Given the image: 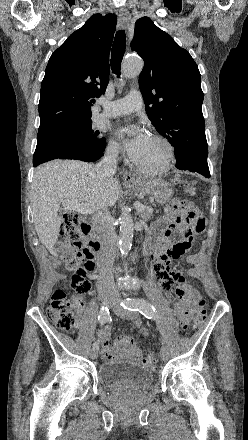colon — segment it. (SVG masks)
<instances>
[{
  "mask_svg": "<svg viewBox=\"0 0 248 440\" xmlns=\"http://www.w3.org/2000/svg\"><path fill=\"white\" fill-rule=\"evenodd\" d=\"M195 187L188 185L186 192L193 196ZM193 206V205H192ZM187 220L190 229L194 233H201L205 229V219L194 206L187 212ZM82 221L78 214L68 212L64 215L61 226V240L56 244L57 250L68 270L73 271L71 279L72 293L69 294L65 289L56 290L47 308L50 321L60 329L69 330L75 326L78 315V307L82 304L83 297L89 292L91 285L87 280V274L94 270L95 261L92 251L82 240ZM197 314L189 328L197 330L203 326L206 314L203 309L204 300L198 296L196 298ZM140 333L143 337L149 336V330L142 328ZM149 364H153L155 359L152 354L146 357Z\"/></svg>",
  "mask_w": 248,
  "mask_h": 440,
  "instance_id": "1",
  "label": "colon"
}]
</instances>
